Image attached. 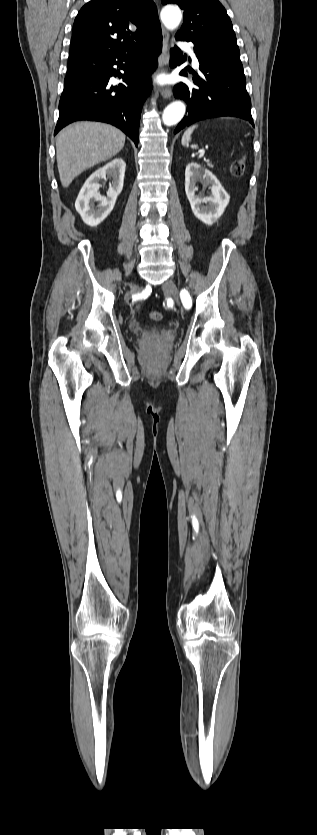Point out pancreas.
<instances>
[{
    "instance_id": "pancreas-1",
    "label": "pancreas",
    "mask_w": 317,
    "mask_h": 835,
    "mask_svg": "<svg viewBox=\"0 0 317 835\" xmlns=\"http://www.w3.org/2000/svg\"><path fill=\"white\" fill-rule=\"evenodd\" d=\"M208 166L211 167V168L213 167V165L211 163H208Z\"/></svg>"
}]
</instances>
